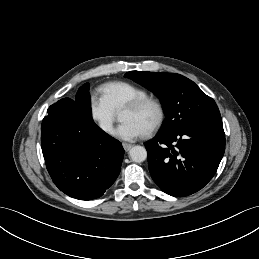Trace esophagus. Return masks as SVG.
Listing matches in <instances>:
<instances>
[{
	"label": "esophagus",
	"mask_w": 259,
	"mask_h": 259,
	"mask_svg": "<svg viewBox=\"0 0 259 259\" xmlns=\"http://www.w3.org/2000/svg\"><path fill=\"white\" fill-rule=\"evenodd\" d=\"M122 145L125 151H129L132 147V145L128 143H123Z\"/></svg>",
	"instance_id": "obj_1"
}]
</instances>
